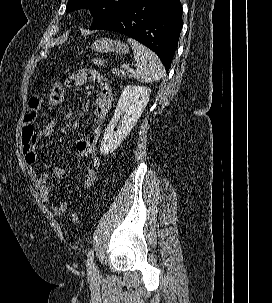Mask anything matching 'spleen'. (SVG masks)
<instances>
[{
  "label": "spleen",
  "instance_id": "spleen-1",
  "mask_svg": "<svg viewBox=\"0 0 272 303\" xmlns=\"http://www.w3.org/2000/svg\"><path fill=\"white\" fill-rule=\"evenodd\" d=\"M127 41L134 51L137 68L132 75L137 81L154 82L165 76V69L154 52L132 38H128Z\"/></svg>",
  "mask_w": 272,
  "mask_h": 303
}]
</instances>
